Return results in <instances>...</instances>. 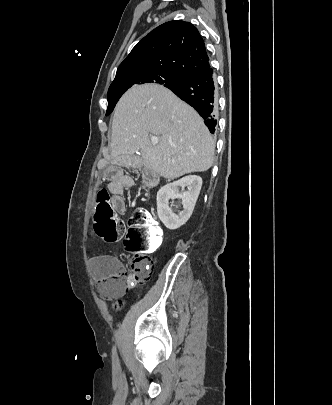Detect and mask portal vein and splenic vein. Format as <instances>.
I'll return each instance as SVG.
<instances>
[{
  "instance_id": "18ae733b",
  "label": "portal vein and splenic vein",
  "mask_w": 332,
  "mask_h": 405,
  "mask_svg": "<svg viewBox=\"0 0 332 405\" xmlns=\"http://www.w3.org/2000/svg\"><path fill=\"white\" fill-rule=\"evenodd\" d=\"M151 141H152L153 144H158L159 138L156 137V136H152V137H151Z\"/></svg>"
}]
</instances>
